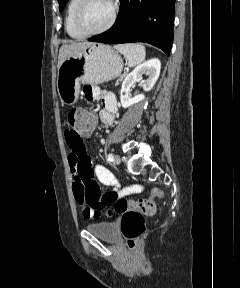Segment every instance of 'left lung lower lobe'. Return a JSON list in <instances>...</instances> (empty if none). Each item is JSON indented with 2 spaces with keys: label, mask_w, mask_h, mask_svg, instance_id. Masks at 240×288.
<instances>
[{
  "label": "left lung lower lobe",
  "mask_w": 240,
  "mask_h": 288,
  "mask_svg": "<svg viewBox=\"0 0 240 288\" xmlns=\"http://www.w3.org/2000/svg\"><path fill=\"white\" fill-rule=\"evenodd\" d=\"M174 5L175 0H120L114 25L89 41L108 44L146 42L170 55Z\"/></svg>",
  "instance_id": "1"
}]
</instances>
